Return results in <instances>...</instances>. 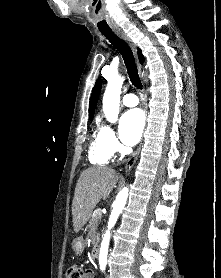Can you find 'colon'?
<instances>
[{
	"label": "colon",
	"mask_w": 221,
	"mask_h": 278,
	"mask_svg": "<svg viewBox=\"0 0 221 278\" xmlns=\"http://www.w3.org/2000/svg\"><path fill=\"white\" fill-rule=\"evenodd\" d=\"M85 271L78 265H71L65 271L64 278H84Z\"/></svg>",
	"instance_id": "obj_1"
}]
</instances>
